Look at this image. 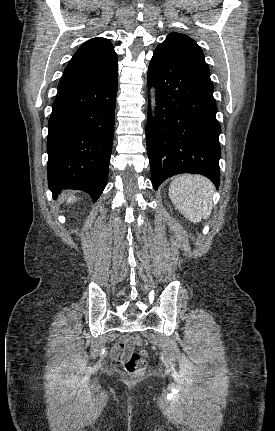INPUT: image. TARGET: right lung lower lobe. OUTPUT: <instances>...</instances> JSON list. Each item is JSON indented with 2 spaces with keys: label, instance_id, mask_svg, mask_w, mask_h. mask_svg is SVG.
<instances>
[{
  "label": "right lung lower lobe",
  "instance_id": "obj_1",
  "mask_svg": "<svg viewBox=\"0 0 275 431\" xmlns=\"http://www.w3.org/2000/svg\"><path fill=\"white\" fill-rule=\"evenodd\" d=\"M118 70L87 85L60 89L48 123V186L83 190L95 202L108 178Z\"/></svg>",
  "mask_w": 275,
  "mask_h": 431
}]
</instances>
